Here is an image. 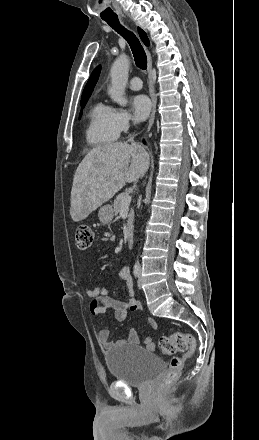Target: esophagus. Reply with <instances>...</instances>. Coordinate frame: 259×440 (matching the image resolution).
<instances>
[{
  "instance_id": "obj_1",
  "label": "esophagus",
  "mask_w": 259,
  "mask_h": 440,
  "mask_svg": "<svg viewBox=\"0 0 259 440\" xmlns=\"http://www.w3.org/2000/svg\"><path fill=\"white\" fill-rule=\"evenodd\" d=\"M146 53H147V60H148L149 93H150V97L152 100V110H151V114H150V118H149V122H148V127H147V130L149 131L154 123L157 99H156V94H155V89H154V83L152 81V58H151V54L148 50H146Z\"/></svg>"
}]
</instances>
